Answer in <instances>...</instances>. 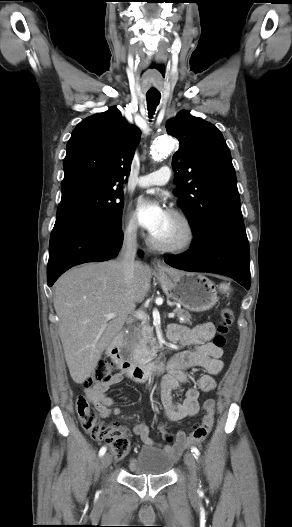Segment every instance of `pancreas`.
I'll use <instances>...</instances> for the list:
<instances>
[{
    "instance_id": "1",
    "label": "pancreas",
    "mask_w": 292,
    "mask_h": 527,
    "mask_svg": "<svg viewBox=\"0 0 292 527\" xmlns=\"http://www.w3.org/2000/svg\"><path fill=\"white\" fill-rule=\"evenodd\" d=\"M174 313L177 315L180 323H190L191 315L188 311L175 308ZM127 341L135 350H140L147 344H152L155 341L153 337V328L148 324H137L129 332Z\"/></svg>"
}]
</instances>
